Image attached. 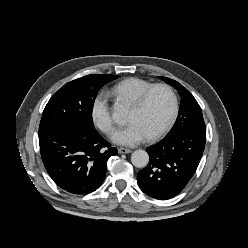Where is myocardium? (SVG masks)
Listing matches in <instances>:
<instances>
[{
  "label": "myocardium",
  "mask_w": 248,
  "mask_h": 248,
  "mask_svg": "<svg viewBox=\"0 0 248 248\" xmlns=\"http://www.w3.org/2000/svg\"><path fill=\"white\" fill-rule=\"evenodd\" d=\"M165 89L170 97H171V111L170 114L167 118V120L165 121V123L161 126V128L156 131L154 134L150 135L147 139L149 141H154L158 138H160L162 135H164L166 133V131L170 128V126L172 125L176 114H177V110H178V99H177V95L175 93V91L173 90V88L165 83H157V84H153L152 86H150L149 88H147L146 90H144L137 98L136 100L132 103V106L135 109H141L148 97L150 96V94L156 90V89Z\"/></svg>",
  "instance_id": "myocardium-1"
}]
</instances>
